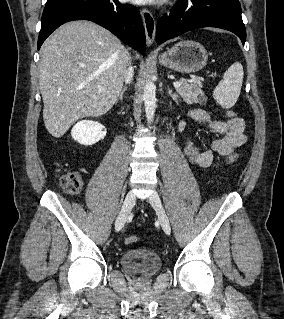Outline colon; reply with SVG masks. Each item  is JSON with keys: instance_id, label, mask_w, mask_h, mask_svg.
I'll return each instance as SVG.
<instances>
[{"instance_id": "colon-1", "label": "colon", "mask_w": 284, "mask_h": 319, "mask_svg": "<svg viewBox=\"0 0 284 319\" xmlns=\"http://www.w3.org/2000/svg\"><path fill=\"white\" fill-rule=\"evenodd\" d=\"M227 116L229 118H236L237 115L234 111H228ZM238 160V155L236 153L231 154L227 158V165L231 166L235 164ZM60 184L61 187L69 194H76L79 192L81 185H82V179L79 173L77 172H70L67 174H64L60 177ZM137 241L136 236H129L125 239V243L127 245L134 244Z\"/></svg>"}]
</instances>
